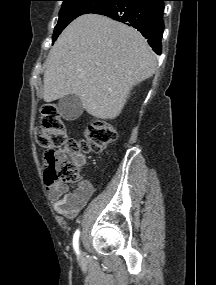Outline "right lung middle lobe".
I'll return each mask as SVG.
<instances>
[{"label":"right lung middle lobe","instance_id":"right-lung-middle-lobe-1","mask_svg":"<svg viewBox=\"0 0 216 285\" xmlns=\"http://www.w3.org/2000/svg\"><path fill=\"white\" fill-rule=\"evenodd\" d=\"M63 1L59 20L53 33V42L63 29L75 18L83 14L93 13L114 0H61Z\"/></svg>","mask_w":216,"mask_h":285}]
</instances>
